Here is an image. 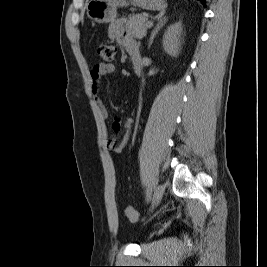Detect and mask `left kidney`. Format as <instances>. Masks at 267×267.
I'll return each mask as SVG.
<instances>
[{
	"mask_svg": "<svg viewBox=\"0 0 267 267\" xmlns=\"http://www.w3.org/2000/svg\"><path fill=\"white\" fill-rule=\"evenodd\" d=\"M183 27L181 22L170 25L163 36V48L167 54L177 57L181 50V35Z\"/></svg>",
	"mask_w": 267,
	"mask_h": 267,
	"instance_id": "left-kidney-1",
	"label": "left kidney"
}]
</instances>
